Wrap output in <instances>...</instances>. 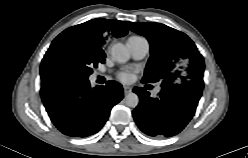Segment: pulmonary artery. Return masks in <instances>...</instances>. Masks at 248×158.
Returning a JSON list of instances; mask_svg holds the SVG:
<instances>
[{
  "mask_svg": "<svg viewBox=\"0 0 248 158\" xmlns=\"http://www.w3.org/2000/svg\"><path fill=\"white\" fill-rule=\"evenodd\" d=\"M128 47L131 51V55L136 60H141L146 57L150 50L149 41L140 36H132L128 39ZM160 91V87L155 89V93Z\"/></svg>",
  "mask_w": 248,
  "mask_h": 158,
  "instance_id": "e3ab8cb5",
  "label": "pulmonary artery"
}]
</instances>
